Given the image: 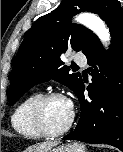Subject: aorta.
Wrapping results in <instances>:
<instances>
[{"instance_id":"762f6f07","label":"aorta","mask_w":123,"mask_h":152,"mask_svg":"<svg viewBox=\"0 0 123 152\" xmlns=\"http://www.w3.org/2000/svg\"><path fill=\"white\" fill-rule=\"evenodd\" d=\"M76 22L83 24L91 29L102 41L105 47L109 45L110 34L105 23L96 15L82 13L75 18Z\"/></svg>"}]
</instances>
